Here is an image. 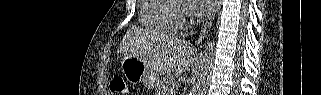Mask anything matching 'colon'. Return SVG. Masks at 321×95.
<instances>
[{"mask_svg":"<svg viewBox=\"0 0 321 95\" xmlns=\"http://www.w3.org/2000/svg\"><path fill=\"white\" fill-rule=\"evenodd\" d=\"M110 90L114 94H119V95H129V88L124 82L123 78L119 75L113 76V78L110 81Z\"/></svg>","mask_w":321,"mask_h":95,"instance_id":"obj_1","label":"colon"}]
</instances>
